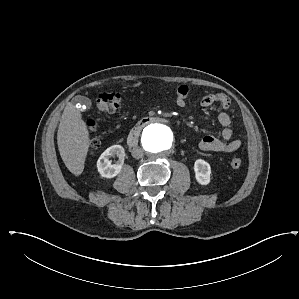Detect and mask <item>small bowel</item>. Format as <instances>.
Here are the masks:
<instances>
[{
    "mask_svg": "<svg viewBox=\"0 0 299 299\" xmlns=\"http://www.w3.org/2000/svg\"><path fill=\"white\" fill-rule=\"evenodd\" d=\"M189 94V88L185 85H182L177 89L176 103L178 107L185 108L187 106V99L189 97ZM230 103L231 102L229 97L222 93L208 94L201 98L200 105L203 108H208L215 104L220 106L221 111L217 116V120L222 126L220 138L214 136H206L200 141L199 148L202 151L230 154L240 148L241 141L239 139H232V120L227 112Z\"/></svg>",
    "mask_w": 299,
    "mask_h": 299,
    "instance_id": "1",
    "label": "small bowel"
}]
</instances>
